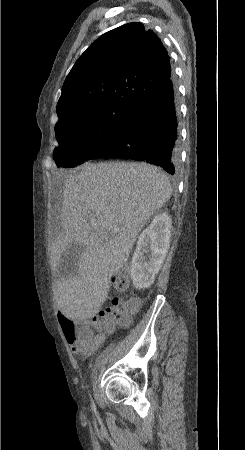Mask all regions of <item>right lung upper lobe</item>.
I'll list each match as a JSON object with an SVG mask.
<instances>
[{
	"mask_svg": "<svg viewBox=\"0 0 245 450\" xmlns=\"http://www.w3.org/2000/svg\"><path fill=\"white\" fill-rule=\"evenodd\" d=\"M169 60L160 39L141 23L115 28L76 61L63 84L57 114L104 104L134 108L170 79Z\"/></svg>",
	"mask_w": 245,
	"mask_h": 450,
	"instance_id": "1",
	"label": "right lung upper lobe"
}]
</instances>
